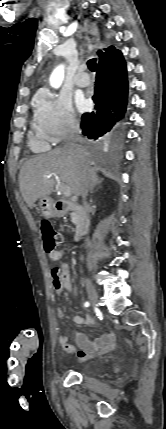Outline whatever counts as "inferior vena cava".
I'll list each match as a JSON object with an SVG mask.
<instances>
[{"label": "inferior vena cava", "instance_id": "obj_1", "mask_svg": "<svg viewBox=\"0 0 166 429\" xmlns=\"http://www.w3.org/2000/svg\"><path fill=\"white\" fill-rule=\"evenodd\" d=\"M80 133H81V130H80L79 123L73 120L70 124L69 130L65 138L64 148L75 153L78 158L83 160L85 158V152H84V148L79 144L82 141ZM93 179H94V174L92 169L88 165H85L83 168V176L81 181V195L84 203L87 197L88 189Z\"/></svg>", "mask_w": 166, "mask_h": 429}]
</instances>
